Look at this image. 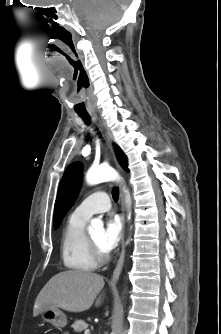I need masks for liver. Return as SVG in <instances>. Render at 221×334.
<instances>
[{
	"label": "liver",
	"instance_id": "obj_1",
	"mask_svg": "<svg viewBox=\"0 0 221 334\" xmlns=\"http://www.w3.org/2000/svg\"><path fill=\"white\" fill-rule=\"evenodd\" d=\"M104 287L101 275L83 271H63L54 275L38 294L33 316L46 309L61 308L69 312L89 309ZM101 296L95 305L101 304Z\"/></svg>",
	"mask_w": 221,
	"mask_h": 334
}]
</instances>
